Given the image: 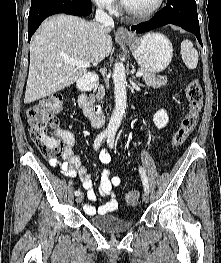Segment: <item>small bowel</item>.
Listing matches in <instances>:
<instances>
[{"label": "small bowel", "instance_id": "small-bowel-1", "mask_svg": "<svg viewBox=\"0 0 221 263\" xmlns=\"http://www.w3.org/2000/svg\"><path fill=\"white\" fill-rule=\"evenodd\" d=\"M62 138L65 143V148L62 154V159H50L48 161L51 167H58L61 173L66 177H78L83 183V187L87 191L88 203L84 205V211L88 215L108 214L118 208V200L113 191L114 187L121 184V178L110 170H103L98 183V193L106 199V202L96 208L94 202L96 195L93 190L90 173L81 164L80 159L74 154L73 147L75 144V136L70 131H62ZM99 160L102 164L107 165L111 162V156L107 151H102L99 155Z\"/></svg>", "mask_w": 221, "mask_h": 263}]
</instances>
